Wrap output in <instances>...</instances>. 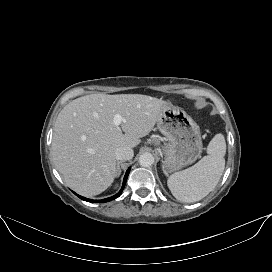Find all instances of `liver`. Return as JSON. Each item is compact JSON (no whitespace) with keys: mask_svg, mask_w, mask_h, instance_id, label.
<instances>
[{"mask_svg":"<svg viewBox=\"0 0 272 272\" xmlns=\"http://www.w3.org/2000/svg\"><path fill=\"white\" fill-rule=\"evenodd\" d=\"M165 105L162 99L142 94L102 93L68 103L56 119L51 146L65 184L86 197L105 191L116 176V149L136 147ZM116 114L125 119L119 126L113 122Z\"/></svg>","mask_w":272,"mask_h":272,"instance_id":"6515ba94","label":"liver"}]
</instances>
